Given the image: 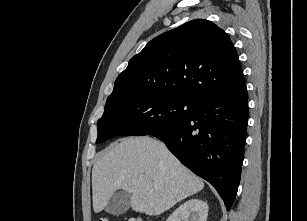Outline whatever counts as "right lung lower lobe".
<instances>
[{"instance_id": "98d812e1", "label": "right lung lower lobe", "mask_w": 307, "mask_h": 221, "mask_svg": "<svg viewBox=\"0 0 307 221\" xmlns=\"http://www.w3.org/2000/svg\"><path fill=\"white\" fill-rule=\"evenodd\" d=\"M247 123L245 86L236 93L197 102L190 117L151 135L213 185L229 210L240 182Z\"/></svg>"}]
</instances>
